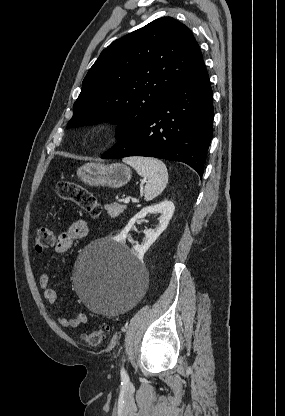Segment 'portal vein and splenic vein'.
<instances>
[{
    "mask_svg": "<svg viewBox=\"0 0 285 416\" xmlns=\"http://www.w3.org/2000/svg\"><path fill=\"white\" fill-rule=\"evenodd\" d=\"M145 182V180H143ZM123 204H129L130 198H125V200H122Z\"/></svg>",
    "mask_w": 285,
    "mask_h": 416,
    "instance_id": "1",
    "label": "portal vein and splenic vein"
}]
</instances>
